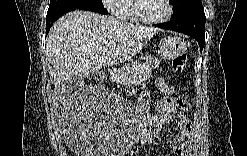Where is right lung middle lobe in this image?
Listing matches in <instances>:
<instances>
[{
  "mask_svg": "<svg viewBox=\"0 0 247 156\" xmlns=\"http://www.w3.org/2000/svg\"><path fill=\"white\" fill-rule=\"evenodd\" d=\"M72 7V8H84V7H101L104 8L102 0H50L48 13L53 11Z\"/></svg>",
  "mask_w": 247,
  "mask_h": 156,
  "instance_id": "obj_1",
  "label": "right lung middle lobe"
}]
</instances>
